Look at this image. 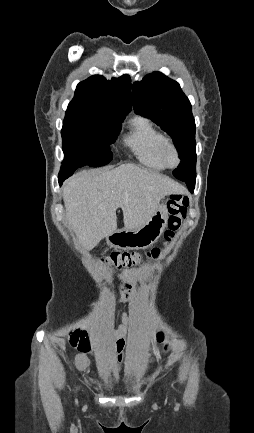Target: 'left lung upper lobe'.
Listing matches in <instances>:
<instances>
[{
  "mask_svg": "<svg viewBox=\"0 0 254 433\" xmlns=\"http://www.w3.org/2000/svg\"><path fill=\"white\" fill-rule=\"evenodd\" d=\"M132 103L137 114L151 119L172 137L181 159L173 171L174 177L195 183L196 126L191 104L180 85L154 72L133 84Z\"/></svg>",
  "mask_w": 254,
  "mask_h": 433,
  "instance_id": "obj_1",
  "label": "left lung upper lobe"
}]
</instances>
